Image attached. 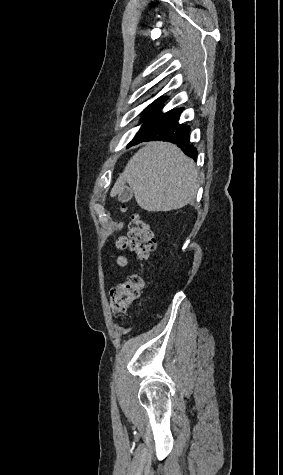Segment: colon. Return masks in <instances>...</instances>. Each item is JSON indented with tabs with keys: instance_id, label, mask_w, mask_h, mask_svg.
Segmentation results:
<instances>
[{
	"instance_id": "obj_1",
	"label": "colon",
	"mask_w": 283,
	"mask_h": 475,
	"mask_svg": "<svg viewBox=\"0 0 283 475\" xmlns=\"http://www.w3.org/2000/svg\"><path fill=\"white\" fill-rule=\"evenodd\" d=\"M154 238L146 222L140 217L133 216L130 221V232L128 238L121 235L114 242L117 251L130 249L139 260L147 261L154 251ZM117 261L127 265L125 256H118ZM143 288V278L141 275L133 274L121 280L112 287L109 294L110 307L117 316L126 315L132 305L139 299Z\"/></svg>"
}]
</instances>
